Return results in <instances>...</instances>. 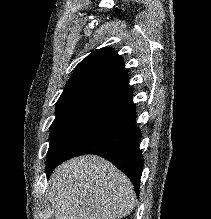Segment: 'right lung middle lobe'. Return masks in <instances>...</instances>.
Wrapping results in <instances>:
<instances>
[{
    "mask_svg": "<svg viewBox=\"0 0 211 219\" xmlns=\"http://www.w3.org/2000/svg\"><path fill=\"white\" fill-rule=\"evenodd\" d=\"M118 108L114 104L95 99H78L58 103L56 118L50 129L47 177L50 176L56 163L76 142Z\"/></svg>",
    "mask_w": 211,
    "mask_h": 219,
    "instance_id": "1",
    "label": "right lung middle lobe"
}]
</instances>
